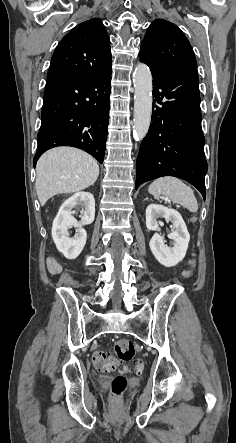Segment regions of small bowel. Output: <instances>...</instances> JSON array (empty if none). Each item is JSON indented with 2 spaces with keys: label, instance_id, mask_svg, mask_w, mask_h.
Wrapping results in <instances>:
<instances>
[{
  "label": "small bowel",
  "instance_id": "small-bowel-1",
  "mask_svg": "<svg viewBox=\"0 0 236 443\" xmlns=\"http://www.w3.org/2000/svg\"><path fill=\"white\" fill-rule=\"evenodd\" d=\"M47 266L52 274H59L62 271L61 264L54 257H49L47 259Z\"/></svg>",
  "mask_w": 236,
  "mask_h": 443
}]
</instances>
